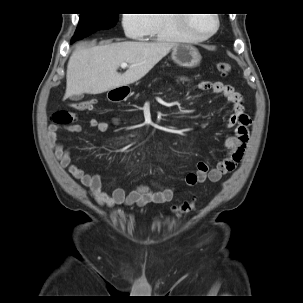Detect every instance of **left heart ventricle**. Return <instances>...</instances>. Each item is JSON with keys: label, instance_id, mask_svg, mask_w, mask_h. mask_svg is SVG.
Instances as JSON below:
<instances>
[{"label": "left heart ventricle", "instance_id": "left-heart-ventricle-1", "mask_svg": "<svg viewBox=\"0 0 303 303\" xmlns=\"http://www.w3.org/2000/svg\"><path fill=\"white\" fill-rule=\"evenodd\" d=\"M215 26V21L210 14H193L190 27L194 33L206 34Z\"/></svg>", "mask_w": 303, "mask_h": 303}]
</instances>
